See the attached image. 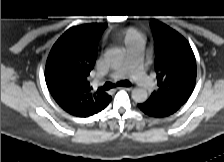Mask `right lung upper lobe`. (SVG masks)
<instances>
[{"label": "right lung upper lobe", "instance_id": "1", "mask_svg": "<svg viewBox=\"0 0 224 162\" xmlns=\"http://www.w3.org/2000/svg\"><path fill=\"white\" fill-rule=\"evenodd\" d=\"M106 25L70 28L54 44L46 62L47 87L61 108L77 117L94 115L109 104L111 96L101 88L93 91L88 81L99 39Z\"/></svg>", "mask_w": 224, "mask_h": 162}]
</instances>
